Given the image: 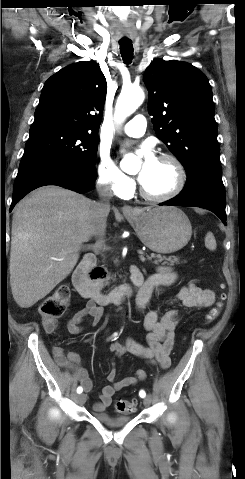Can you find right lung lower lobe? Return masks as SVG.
I'll return each instance as SVG.
<instances>
[{
    "label": "right lung lower lobe",
    "instance_id": "right-lung-lower-lobe-1",
    "mask_svg": "<svg viewBox=\"0 0 245 479\" xmlns=\"http://www.w3.org/2000/svg\"><path fill=\"white\" fill-rule=\"evenodd\" d=\"M96 179L94 171L61 161H41L22 166L14 182L10 211L19 200L38 187L57 185L86 193L94 188Z\"/></svg>",
    "mask_w": 245,
    "mask_h": 479
}]
</instances>
